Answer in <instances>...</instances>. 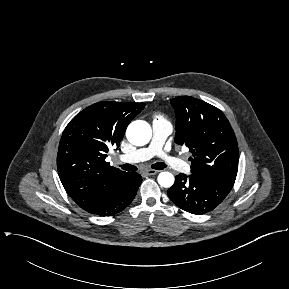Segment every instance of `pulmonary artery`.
<instances>
[{"instance_id": "pulmonary-artery-1", "label": "pulmonary artery", "mask_w": 289, "mask_h": 289, "mask_svg": "<svg viewBox=\"0 0 289 289\" xmlns=\"http://www.w3.org/2000/svg\"><path fill=\"white\" fill-rule=\"evenodd\" d=\"M152 129L153 136L149 146L122 155L120 160L122 162L138 163L149 160L157 155L160 156L170 168L181 172H188L189 165L185 161L177 157L169 156L162 150L167 137L172 132V125L168 121L158 118L153 120Z\"/></svg>"}]
</instances>
